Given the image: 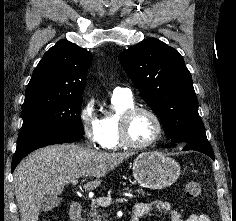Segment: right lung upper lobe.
Instances as JSON below:
<instances>
[{
    "instance_id": "1",
    "label": "right lung upper lobe",
    "mask_w": 236,
    "mask_h": 221,
    "mask_svg": "<svg viewBox=\"0 0 236 221\" xmlns=\"http://www.w3.org/2000/svg\"><path fill=\"white\" fill-rule=\"evenodd\" d=\"M92 55L68 40L51 47L34 69L26 95L50 93L81 95Z\"/></svg>"
}]
</instances>
